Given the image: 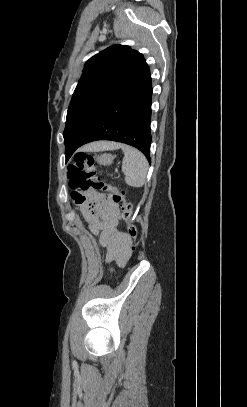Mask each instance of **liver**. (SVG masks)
Instances as JSON below:
<instances>
[{
    "label": "liver",
    "mask_w": 247,
    "mask_h": 407,
    "mask_svg": "<svg viewBox=\"0 0 247 407\" xmlns=\"http://www.w3.org/2000/svg\"><path fill=\"white\" fill-rule=\"evenodd\" d=\"M118 147H120V144L115 142H97L84 147V149L91 151H100L116 149Z\"/></svg>",
    "instance_id": "6515ba94"
}]
</instances>
